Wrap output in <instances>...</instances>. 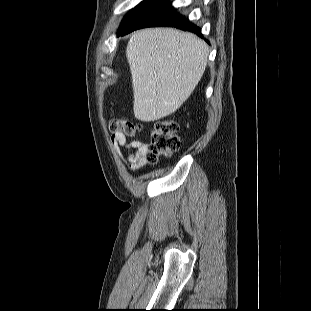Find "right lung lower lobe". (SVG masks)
I'll use <instances>...</instances> for the list:
<instances>
[{
    "label": "right lung lower lobe",
    "mask_w": 311,
    "mask_h": 311,
    "mask_svg": "<svg viewBox=\"0 0 311 311\" xmlns=\"http://www.w3.org/2000/svg\"><path fill=\"white\" fill-rule=\"evenodd\" d=\"M146 27H175L203 37L199 27L182 17L167 2L158 1L139 14L120 35Z\"/></svg>",
    "instance_id": "1"
}]
</instances>
